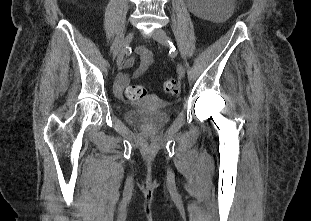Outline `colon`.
Listing matches in <instances>:
<instances>
[{
    "label": "colon",
    "instance_id": "5ec220e1",
    "mask_svg": "<svg viewBox=\"0 0 311 221\" xmlns=\"http://www.w3.org/2000/svg\"><path fill=\"white\" fill-rule=\"evenodd\" d=\"M136 87L128 88L127 96L130 97V99H143V95H146V88H141V86ZM162 91L168 96L177 94L179 91L178 81L174 78L166 79L162 85Z\"/></svg>",
    "mask_w": 311,
    "mask_h": 221
}]
</instances>
